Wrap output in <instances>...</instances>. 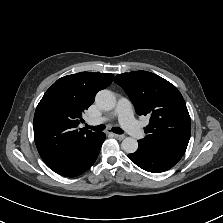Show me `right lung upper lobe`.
<instances>
[{
	"label": "right lung upper lobe",
	"instance_id": "right-lung-upper-lobe-1",
	"mask_svg": "<svg viewBox=\"0 0 223 223\" xmlns=\"http://www.w3.org/2000/svg\"><path fill=\"white\" fill-rule=\"evenodd\" d=\"M112 74L80 72L58 79L44 94L34 115V138L45 164L62 174L77 166L99 133L81 128L82 112L98 91L108 87Z\"/></svg>",
	"mask_w": 223,
	"mask_h": 223
}]
</instances>
